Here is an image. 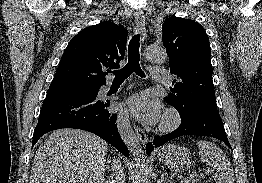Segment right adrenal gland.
<instances>
[{"label":"right adrenal gland","mask_w":262,"mask_h":183,"mask_svg":"<svg viewBox=\"0 0 262 183\" xmlns=\"http://www.w3.org/2000/svg\"><path fill=\"white\" fill-rule=\"evenodd\" d=\"M107 170L111 174H109V176H107V182L106 183H116V179H115L114 174L112 173V170H111V160L107 161Z\"/></svg>","instance_id":"2a0ac1e0"}]
</instances>
